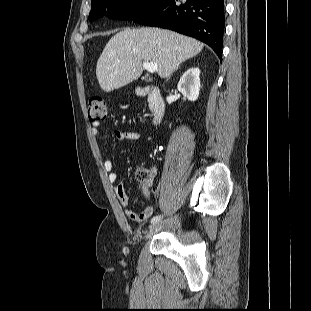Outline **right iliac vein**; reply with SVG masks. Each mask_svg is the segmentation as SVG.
Segmentation results:
<instances>
[{"instance_id":"1","label":"right iliac vein","mask_w":311,"mask_h":311,"mask_svg":"<svg viewBox=\"0 0 311 311\" xmlns=\"http://www.w3.org/2000/svg\"><path fill=\"white\" fill-rule=\"evenodd\" d=\"M176 220H177V216L170 218V219H167V220H164V221H161V222H157V223L152 224L149 227V232L146 235V238L153 235V233H155L156 231H159L161 229H164L165 227L171 226Z\"/></svg>"}]
</instances>
